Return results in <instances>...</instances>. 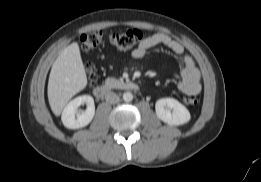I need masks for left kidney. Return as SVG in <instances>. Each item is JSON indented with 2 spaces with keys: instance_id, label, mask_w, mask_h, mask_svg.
<instances>
[{
  "instance_id": "left-kidney-1",
  "label": "left kidney",
  "mask_w": 261,
  "mask_h": 182,
  "mask_svg": "<svg viewBox=\"0 0 261 182\" xmlns=\"http://www.w3.org/2000/svg\"><path fill=\"white\" fill-rule=\"evenodd\" d=\"M157 117L172 126H179L190 121L191 116L188 109L173 98H162L155 104Z\"/></svg>"
}]
</instances>
